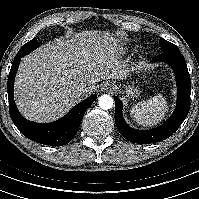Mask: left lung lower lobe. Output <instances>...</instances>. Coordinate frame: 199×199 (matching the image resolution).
Returning <instances> with one entry per match:
<instances>
[{"instance_id":"left-lung-lower-lobe-1","label":"left lung lower lobe","mask_w":199,"mask_h":199,"mask_svg":"<svg viewBox=\"0 0 199 199\" xmlns=\"http://www.w3.org/2000/svg\"><path fill=\"white\" fill-rule=\"evenodd\" d=\"M164 61L174 69L177 81L178 99L172 116L161 126L151 130H135L128 126L122 116V103L115 100V123L120 134L133 143L147 144L165 140L182 124L190 108L191 80L186 61L179 50L163 51L152 62Z\"/></svg>"}]
</instances>
